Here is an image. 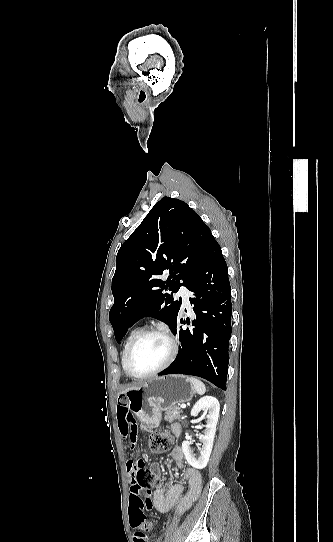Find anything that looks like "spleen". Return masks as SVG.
I'll list each match as a JSON object with an SVG mask.
<instances>
[{
  "mask_svg": "<svg viewBox=\"0 0 333 542\" xmlns=\"http://www.w3.org/2000/svg\"><path fill=\"white\" fill-rule=\"evenodd\" d=\"M189 380L195 392H197V394H200V396H203V394H205L206 392L205 384H203L201 380H196V378H189Z\"/></svg>",
  "mask_w": 333,
  "mask_h": 542,
  "instance_id": "obj_1",
  "label": "spleen"
}]
</instances>
